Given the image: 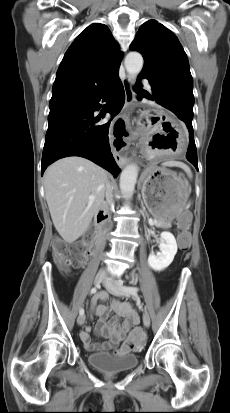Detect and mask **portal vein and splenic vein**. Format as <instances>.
Wrapping results in <instances>:
<instances>
[{
	"label": "portal vein and splenic vein",
	"mask_w": 230,
	"mask_h": 413,
	"mask_svg": "<svg viewBox=\"0 0 230 413\" xmlns=\"http://www.w3.org/2000/svg\"><path fill=\"white\" fill-rule=\"evenodd\" d=\"M89 199H90V200H93V199H94V196H90ZM149 222L153 223L152 220H150Z\"/></svg>",
	"instance_id": "obj_1"
}]
</instances>
